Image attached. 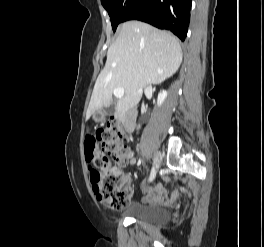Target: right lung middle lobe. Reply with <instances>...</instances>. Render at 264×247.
I'll return each instance as SVG.
<instances>
[{
  "mask_svg": "<svg viewBox=\"0 0 264 247\" xmlns=\"http://www.w3.org/2000/svg\"><path fill=\"white\" fill-rule=\"evenodd\" d=\"M134 0H101L103 7L107 10L113 31L123 21L124 15Z\"/></svg>",
  "mask_w": 264,
  "mask_h": 247,
  "instance_id": "right-lung-middle-lobe-1",
  "label": "right lung middle lobe"
}]
</instances>
